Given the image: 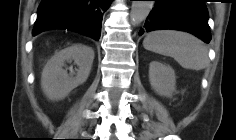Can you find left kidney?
Instances as JSON below:
<instances>
[{
    "mask_svg": "<svg viewBox=\"0 0 236 140\" xmlns=\"http://www.w3.org/2000/svg\"><path fill=\"white\" fill-rule=\"evenodd\" d=\"M149 81L156 93L161 96L170 97L176 84L174 70L167 65L152 61L149 65Z\"/></svg>",
    "mask_w": 236,
    "mask_h": 140,
    "instance_id": "1",
    "label": "left kidney"
}]
</instances>
